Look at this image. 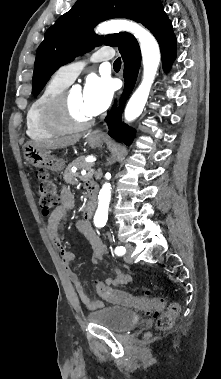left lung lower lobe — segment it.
<instances>
[{
	"label": "left lung lower lobe",
	"instance_id": "left-lung-lower-lobe-1",
	"mask_svg": "<svg viewBox=\"0 0 221 379\" xmlns=\"http://www.w3.org/2000/svg\"><path fill=\"white\" fill-rule=\"evenodd\" d=\"M143 25L156 37L161 48L163 66L167 70L176 56V37L173 33L172 23L164 12L161 3L153 6L144 19ZM118 47L125 64V89L119 107L117 108L116 105L112 107L106 117V122L109 127L108 134L112 138L129 145L135 136V132L129 126L121 123V113L136 81L141 63V53L137 40L131 34L126 36Z\"/></svg>",
	"mask_w": 221,
	"mask_h": 379
}]
</instances>
